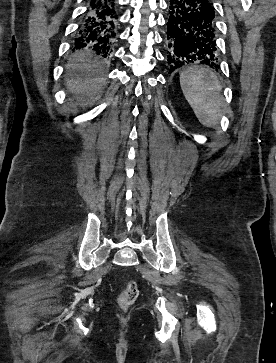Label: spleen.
<instances>
[{"label": "spleen", "mask_w": 276, "mask_h": 363, "mask_svg": "<svg viewBox=\"0 0 276 363\" xmlns=\"http://www.w3.org/2000/svg\"><path fill=\"white\" fill-rule=\"evenodd\" d=\"M180 85L200 123L216 126L225 104L216 74L205 67L190 66L180 74Z\"/></svg>", "instance_id": "spleen-1"}]
</instances>
